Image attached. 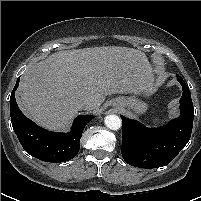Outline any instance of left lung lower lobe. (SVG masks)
<instances>
[{
    "instance_id": "0a47b994",
    "label": "left lung lower lobe",
    "mask_w": 201,
    "mask_h": 201,
    "mask_svg": "<svg viewBox=\"0 0 201 201\" xmlns=\"http://www.w3.org/2000/svg\"><path fill=\"white\" fill-rule=\"evenodd\" d=\"M177 80L183 88L180 99L181 114L167 125L147 128L136 120L121 116L122 157L131 166L152 169L167 165L188 143L194 118L189 88L182 77Z\"/></svg>"
}]
</instances>
